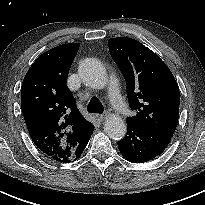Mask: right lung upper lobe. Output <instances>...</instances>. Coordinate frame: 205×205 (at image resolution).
Listing matches in <instances>:
<instances>
[{
	"label": "right lung upper lobe",
	"instance_id": "1",
	"mask_svg": "<svg viewBox=\"0 0 205 205\" xmlns=\"http://www.w3.org/2000/svg\"><path fill=\"white\" fill-rule=\"evenodd\" d=\"M78 43L63 44L40 55L21 87V108L31 139L47 157L69 163L75 148L93 130L76 109L66 80Z\"/></svg>",
	"mask_w": 205,
	"mask_h": 205
}]
</instances>
